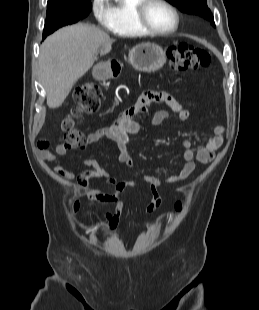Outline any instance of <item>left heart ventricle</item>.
<instances>
[{
  "instance_id": "left-heart-ventricle-1",
  "label": "left heart ventricle",
  "mask_w": 259,
  "mask_h": 310,
  "mask_svg": "<svg viewBox=\"0 0 259 310\" xmlns=\"http://www.w3.org/2000/svg\"><path fill=\"white\" fill-rule=\"evenodd\" d=\"M147 19L158 30H169L175 25V17L172 11L158 2L149 5Z\"/></svg>"
}]
</instances>
